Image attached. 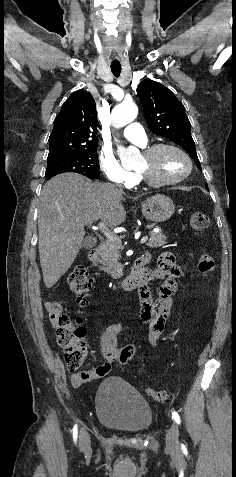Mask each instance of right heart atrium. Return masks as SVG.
<instances>
[{
  "mask_svg": "<svg viewBox=\"0 0 236 477\" xmlns=\"http://www.w3.org/2000/svg\"><path fill=\"white\" fill-rule=\"evenodd\" d=\"M99 165L105 178L113 184L129 186L135 182V175L126 170L113 154L102 151L99 156Z\"/></svg>",
  "mask_w": 236,
  "mask_h": 477,
  "instance_id": "right-heart-atrium-1",
  "label": "right heart atrium"
}]
</instances>
